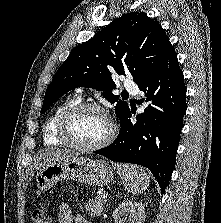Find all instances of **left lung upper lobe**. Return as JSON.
<instances>
[{"label": "left lung upper lobe", "mask_w": 221, "mask_h": 223, "mask_svg": "<svg viewBox=\"0 0 221 223\" xmlns=\"http://www.w3.org/2000/svg\"><path fill=\"white\" fill-rule=\"evenodd\" d=\"M171 45L161 25L143 12H131L113 20L93 38L74 48L47 87L41 113L76 87L103 91L122 118L127 102L113 95L112 74L130 73L140 84L164 58Z\"/></svg>", "instance_id": "5c2ea615"}]
</instances>
